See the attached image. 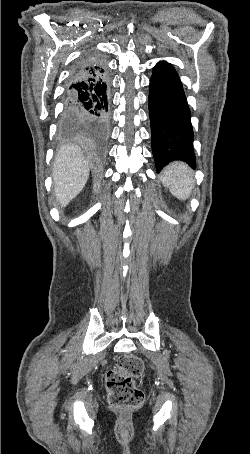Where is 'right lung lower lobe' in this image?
<instances>
[{"mask_svg": "<svg viewBox=\"0 0 250 454\" xmlns=\"http://www.w3.org/2000/svg\"><path fill=\"white\" fill-rule=\"evenodd\" d=\"M63 104L62 125L89 145L103 148L109 127V80L99 52L88 51L76 62Z\"/></svg>", "mask_w": 250, "mask_h": 454, "instance_id": "right-lung-lower-lobe-1", "label": "right lung lower lobe"}]
</instances>
